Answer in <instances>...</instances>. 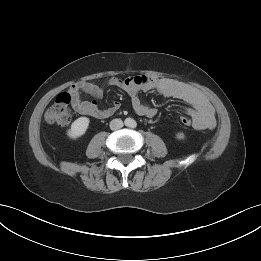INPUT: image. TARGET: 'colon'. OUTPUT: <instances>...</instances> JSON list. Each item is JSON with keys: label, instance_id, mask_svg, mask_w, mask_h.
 <instances>
[{"label": "colon", "instance_id": "obj_1", "mask_svg": "<svg viewBox=\"0 0 261 261\" xmlns=\"http://www.w3.org/2000/svg\"><path fill=\"white\" fill-rule=\"evenodd\" d=\"M70 101L71 98L68 93L59 94L55 102L46 111L45 118L47 122L60 126L67 125L71 120ZM181 122L185 126L192 125L190 117H181Z\"/></svg>", "mask_w": 261, "mask_h": 261}]
</instances>
